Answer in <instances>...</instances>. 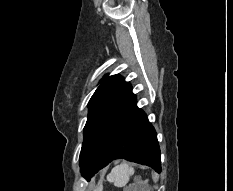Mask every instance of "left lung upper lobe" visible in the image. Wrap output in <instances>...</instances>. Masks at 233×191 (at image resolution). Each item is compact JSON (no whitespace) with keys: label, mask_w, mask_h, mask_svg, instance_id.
I'll return each instance as SVG.
<instances>
[{"label":"left lung upper lobe","mask_w":233,"mask_h":191,"mask_svg":"<svg viewBox=\"0 0 233 191\" xmlns=\"http://www.w3.org/2000/svg\"><path fill=\"white\" fill-rule=\"evenodd\" d=\"M133 95L131 84L120 75H107L101 80L88 103V119L84 127V140L80 153V168L84 165L95 142Z\"/></svg>","instance_id":"left-lung-upper-lobe-1"}]
</instances>
